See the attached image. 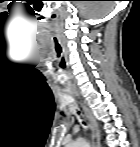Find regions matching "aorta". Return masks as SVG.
Here are the masks:
<instances>
[{
    "mask_svg": "<svg viewBox=\"0 0 140 147\" xmlns=\"http://www.w3.org/2000/svg\"><path fill=\"white\" fill-rule=\"evenodd\" d=\"M73 147H89V143L84 139H79L72 144Z\"/></svg>",
    "mask_w": 140,
    "mask_h": 147,
    "instance_id": "aorta-1",
    "label": "aorta"
}]
</instances>
